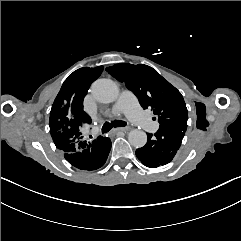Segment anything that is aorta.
Wrapping results in <instances>:
<instances>
[{"instance_id": "1", "label": "aorta", "mask_w": 241, "mask_h": 241, "mask_svg": "<svg viewBox=\"0 0 241 241\" xmlns=\"http://www.w3.org/2000/svg\"><path fill=\"white\" fill-rule=\"evenodd\" d=\"M93 97L101 103L114 102L119 95V88L117 84L110 79H98L91 87ZM130 144L136 148L145 146L147 142V135L144 131L133 129L128 134Z\"/></svg>"}]
</instances>
